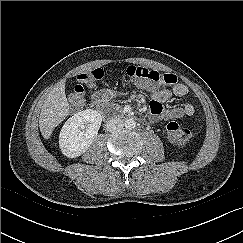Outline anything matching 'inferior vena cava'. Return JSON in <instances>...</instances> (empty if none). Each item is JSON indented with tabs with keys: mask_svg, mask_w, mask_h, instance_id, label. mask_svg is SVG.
Here are the masks:
<instances>
[{
	"mask_svg": "<svg viewBox=\"0 0 243 243\" xmlns=\"http://www.w3.org/2000/svg\"><path fill=\"white\" fill-rule=\"evenodd\" d=\"M123 127H124L123 121L117 117L110 118L107 121V123L105 124L106 130L111 133L118 132V131L122 130Z\"/></svg>",
	"mask_w": 243,
	"mask_h": 243,
	"instance_id": "1",
	"label": "inferior vena cava"
}]
</instances>
